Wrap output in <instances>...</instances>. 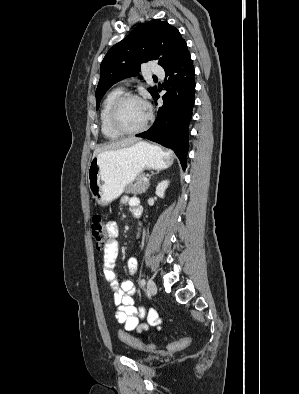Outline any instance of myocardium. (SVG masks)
Segmentation results:
<instances>
[{
	"mask_svg": "<svg viewBox=\"0 0 299 394\" xmlns=\"http://www.w3.org/2000/svg\"><path fill=\"white\" fill-rule=\"evenodd\" d=\"M127 100H139V101L145 103L143 101V99L141 97H139L138 95H136V94H132V93H123V94H121L120 96H118L113 101V103H112V105L110 107V110H109V123H110V126L112 127V129L114 131H116L117 133H119L120 135H134V134H138V133L144 131L148 127V125H149V123H150V121L152 119V114H151V111L148 108L147 117H146V119H145V121L143 122L142 125H140L139 127L135 128V129H125V128H123L120 125L119 121H118V112H119V109H120L121 105L124 102H126Z\"/></svg>",
	"mask_w": 299,
	"mask_h": 394,
	"instance_id": "1",
	"label": "myocardium"
}]
</instances>
